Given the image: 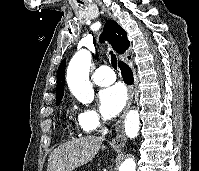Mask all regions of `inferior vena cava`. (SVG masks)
I'll return each mask as SVG.
<instances>
[{
    "instance_id": "inferior-vena-cava-1",
    "label": "inferior vena cava",
    "mask_w": 199,
    "mask_h": 171,
    "mask_svg": "<svg viewBox=\"0 0 199 171\" xmlns=\"http://www.w3.org/2000/svg\"><path fill=\"white\" fill-rule=\"evenodd\" d=\"M107 131H108V129H107V128H104V129H103V132H102V135L104 136L105 134H107Z\"/></svg>"
}]
</instances>
